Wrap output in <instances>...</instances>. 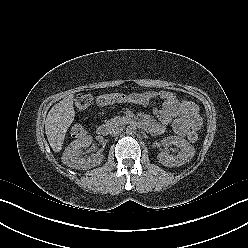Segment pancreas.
Wrapping results in <instances>:
<instances>
[{
    "label": "pancreas",
    "instance_id": "pancreas-1",
    "mask_svg": "<svg viewBox=\"0 0 248 248\" xmlns=\"http://www.w3.org/2000/svg\"><path fill=\"white\" fill-rule=\"evenodd\" d=\"M129 121V118L128 117H125V116H123V117H119V116H116V117H114V118H112V119H110V120H108V121H106V126L107 127H114V126H116V125H122V124H125V123H127Z\"/></svg>",
    "mask_w": 248,
    "mask_h": 248
}]
</instances>
